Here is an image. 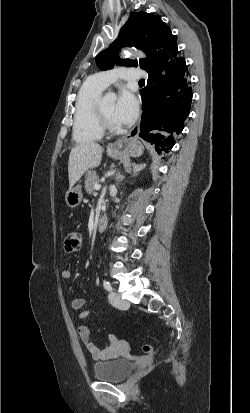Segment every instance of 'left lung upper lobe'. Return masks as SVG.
Returning <instances> with one entry per match:
<instances>
[{
  "instance_id": "left-lung-upper-lobe-1",
  "label": "left lung upper lobe",
  "mask_w": 250,
  "mask_h": 413,
  "mask_svg": "<svg viewBox=\"0 0 250 413\" xmlns=\"http://www.w3.org/2000/svg\"><path fill=\"white\" fill-rule=\"evenodd\" d=\"M164 42L177 43V36L172 35L170 28L158 17L146 12H135L121 28L118 38L108 49L99 53L96 64L100 70H109L115 64L137 66L138 62L130 59L121 60L117 51L121 47H136L144 50L148 58L140 59V67L148 70L157 47Z\"/></svg>"
}]
</instances>
